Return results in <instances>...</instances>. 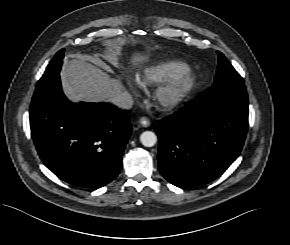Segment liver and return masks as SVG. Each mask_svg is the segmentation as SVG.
I'll use <instances>...</instances> for the list:
<instances>
[{"label":"liver","mask_w":290,"mask_h":245,"mask_svg":"<svg viewBox=\"0 0 290 245\" xmlns=\"http://www.w3.org/2000/svg\"><path fill=\"white\" fill-rule=\"evenodd\" d=\"M130 61L135 67L147 61V57L134 53ZM61 79L67 95L74 101H107L124 91L120 80L111 78L106 72L83 59L66 61Z\"/></svg>","instance_id":"1"}]
</instances>
